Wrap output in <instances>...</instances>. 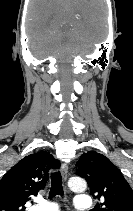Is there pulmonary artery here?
I'll return each mask as SVG.
<instances>
[{"instance_id":"e3ab8cb5","label":"pulmonary artery","mask_w":133,"mask_h":211,"mask_svg":"<svg viewBox=\"0 0 133 211\" xmlns=\"http://www.w3.org/2000/svg\"><path fill=\"white\" fill-rule=\"evenodd\" d=\"M38 205L31 208L30 211H58V206L44 199H39ZM75 207L80 210H90L93 207V201L90 196L79 194L75 197Z\"/></svg>"}]
</instances>
